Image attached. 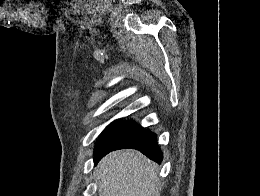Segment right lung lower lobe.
<instances>
[{
  "label": "right lung lower lobe",
  "mask_w": 260,
  "mask_h": 196,
  "mask_svg": "<svg viewBox=\"0 0 260 196\" xmlns=\"http://www.w3.org/2000/svg\"><path fill=\"white\" fill-rule=\"evenodd\" d=\"M125 148L137 149L157 163H160L163 159L162 151L156 142V135L150 130L145 129L131 136L129 139L116 147L95 152V163H97L107 153L113 150Z\"/></svg>",
  "instance_id": "right-lung-lower-lobe-1"
}]
</instances>
